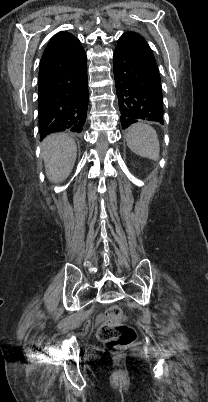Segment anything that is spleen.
<instances>
[{"label":"spleen","instance_id":"obj_1","mask_svg":"<svg viewBox=\"0 0 208 402\" xmlns=\"http://www.w3.org/2000/svg\"><path fill=\"white\" fill-rule=\"evenodd\" d=\"M126 142L131 152L158 162L160 144L156 130L147 124H134L127 132Z\"/></svg>","mask_w":208,"mask_h":402}]
</instances>
